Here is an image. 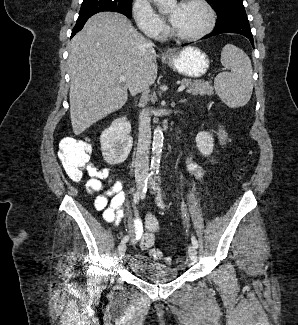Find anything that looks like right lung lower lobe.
<instances>
[{
	"mask_svg": "<svg viewBox=\"0 0 298 325\" xmlns=\"http://www.w3.org/2000/svg\"><path fill=\"white\" fill-rule=\"evenodd\" d=\"M87 20H88V18H86V19H78L77 20L76 25H75V27L72 30L71 37H73L76 34V32L80 31L83 28V26H84V24H85V22Z\"/></svg>",
	"mask_w": 298,
	"mask_h": 325,
	"instance_id": "1",
	"label": "right lung lower lobe"
}]
</instances>
